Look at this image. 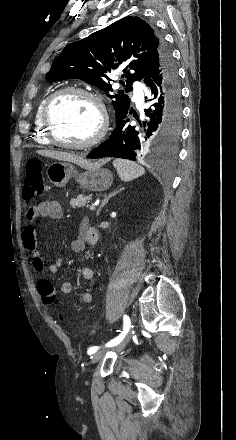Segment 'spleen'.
<instances>
[{"label":"spleen","instance_id":"spleen-1","mask_svg":"<svg viewBox=\"0 0 236 440\" xmlns=\"http://www.w3.org/2000/svg\"><path fill=\"white\" fill-rule=\"evenodd\" d=\"M113 166L120 179L125 182L136 179L145 173V169L142 166L129 160L115 159Z\"/></svg>","mask_w":236,"mask_h":440}]
</instances>
